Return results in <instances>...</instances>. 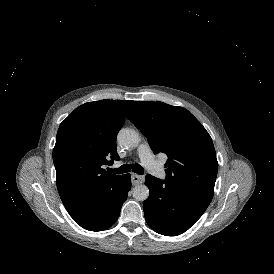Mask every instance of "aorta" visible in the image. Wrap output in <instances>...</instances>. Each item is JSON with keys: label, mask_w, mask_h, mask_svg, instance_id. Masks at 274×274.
<instances>
[{"label": "aorta", "mask_w": 274, "mask_h": 274, "mask_svg": "<svg viewBox=\"0 0 274 274\" xmlns=\"http://www.w3.org/2000/svg\"><path fill=\"white\" fill-rule=\"evenodd\" d=\"M117 140L120 145L133 148L138 146L140 138L134 129L122 128L118 133ZM132 195L137 201H145L149 196V189L144 184H138L133 188Z\"/></svg>", "instance_id": "obj_1"}]
</instances>
